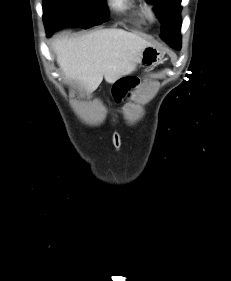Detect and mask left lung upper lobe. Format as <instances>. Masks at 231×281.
Instances as JSON below:
<instances>
[{
	"mask_svg": "<svg viewBox=\"0 0 231 281\" xmlns=\"http://www.w3.org/2000/svg\"><path fill=\"white\" fill-rule=\"evenodd\" d=\"M156 5L154 8L157 16L162 23L161 37L172 47L176 46L172 43L171 33L174 31H180L181 17L180 12L182 7L180 6L181 0H147Z\"/></svg>",
	"mask_w": 231,
	"mask_h": 281,
	"instance_id": "5c2ea615",
	"label": "left lung upper lobe"
}]
</instances>
